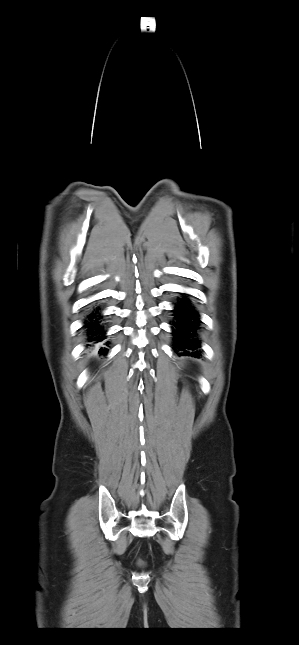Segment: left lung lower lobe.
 Instances as JSON below:
<instances>
[{
    "mask_svg": "<svg viewBox=\"0 0 299 645\" xmlns=\"http://www.w3.org/2000/svg\"><path fill=\"white\" fill-rule=\"evenodd\" d=\"M173 312L172 329L175 340L173 350L179 356H199L200 341L197 339L196 333L200 323L198 312L186 298H180L175 303ZM179 351L181 352L179 353Z\"/></svg>",
    "mask_w": 299,
    "mask_h": 645,
    "instance_id": "obj_1",
    "label": "left lung lower lobe"
}]
</instances>
